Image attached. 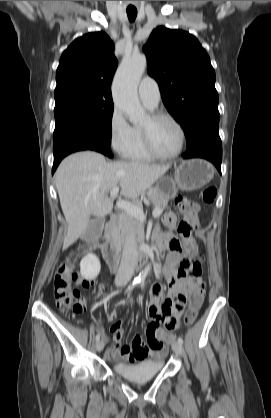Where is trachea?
Instances as JSON below:
<instances>
[{
	"instance_id": "3493384b",
	"label": "trachea",
	"mask_w": 271,
	"mask_h": 418,
	"mask_svg": "<svg viewBox=\"0 0 271 418\" xmlns=\"http://www.w3.org/2000/svg\"><path fill=\"white\" fill-rule=\"evenodd\" d=\"M127 15L130 21H134L137 16V9H127Z\"/></svg>"
}]
</instances>
